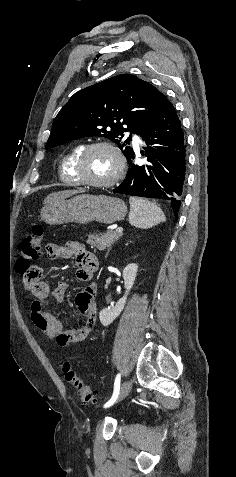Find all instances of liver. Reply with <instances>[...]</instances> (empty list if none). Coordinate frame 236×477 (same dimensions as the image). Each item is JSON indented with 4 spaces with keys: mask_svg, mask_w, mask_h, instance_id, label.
<instances>
[{
    "mask_svg": "<svg viewBox=\"0 0 236 477\" xmlns=\"http://www.w3.org/2000/svg\"><path fill=\"white\" fill-rule=\"evenodd\" d=\"M79 190H67V191H60V192H54L49 194L45 199H44V204L45 205H51V204H56L59 202H62L65 198L70 197L74 194H77Z\"/></svg>",
    "mask_w": 236,
    "mask_h": 477,
    "instance_id": "1",
    "label": "liver"
}]
</instances>
